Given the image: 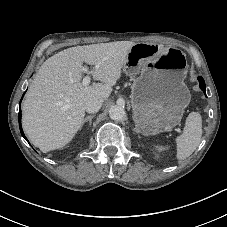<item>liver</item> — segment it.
<instances>
[{
	"mask_svg": "<svg viewBox=\"0 0 227 227\" xmlns=\"http://www.w3.org/2000/svg\"><path fill=\"white\" fill-rule=\"evenodd\" d=\"M135 44L116 41L77 46L48 58L23 103L22 125L33 145L46 153L68 144L83 125L86 101L110 96ZM84 62L93 66L90 73L99 83L82 84Z\"/></svg>",
	"mask_w": 227,
	"mask_h": 227,
	"instance_id": "6515ba94",
	"label": "liver"
}]
</instances>
